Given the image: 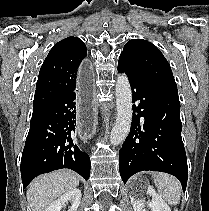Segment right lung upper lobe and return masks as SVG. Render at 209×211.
Here are the masks:
<instances>
[{
  "label": "right lung upper lobe",
  "mask_w": 209,
  "mask_h": 211,
  "mask_svg": "<svg viewBox=\"0 0 209 211\" xmlns=\"http://www.w3.org/2000/svg\"><path fill=\"white\" fill-rule=\"evenodd\" d=\"M86 55V45L73 36L53 46L39 72L33 113L54 99L75 90L77 71Z\"/></svg>",
  "instance_id": "right-lung-upper-lobe-1"
}]
</instances>
